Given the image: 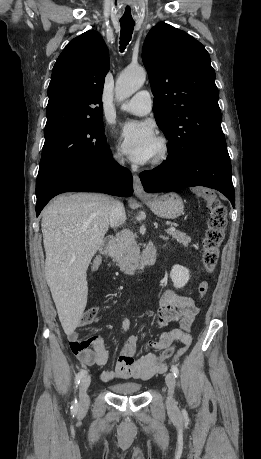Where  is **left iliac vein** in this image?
Returning <instances> with one entry per match:
<instances>
[{"label":"left iliac vein","instance_id":"left-iliac-vein-1","mask_svg":"<svg viewBox=\"0 0 261 459\" xmlns=\"http://www.w3.org/2000/svg\"><path fill=\"white\" fill-rule=\"evenodd\" d=\"M165 382L168 387V396H167V406L169 408H174L176 406V401L174 399V389H175V377L172 373H168L165 377Z\"/></svg>","mask_w":261,"mask_h":459}]
</instances>
